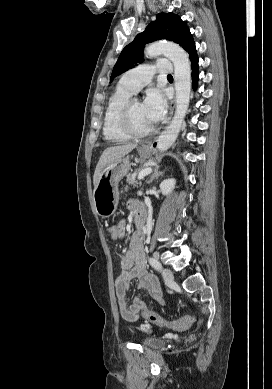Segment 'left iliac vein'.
Instances as JSON below:
<instances>
[{
	"label": "left iliac vein",
	"mask_w": 272,
	"mask_h": 389,
	"mask_svg": "<svg viewBox=\"0 0 272 389\" xmlns=\"http://www.w3.org/2000/svg\"><path fill=\"white\" fill-rule=\"evenodd\" d=\"M162 276L164 278V280L169 283V282H172L174 280V277H173V273L170 269L168 268H164L162 269Z\"/></svg>",
	"instance_id": "left-iliac-vein-1"
}]
</instances>
